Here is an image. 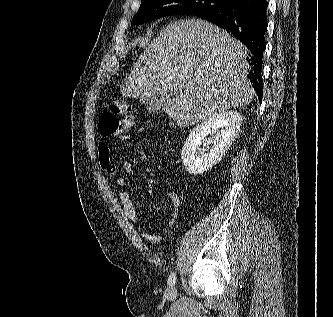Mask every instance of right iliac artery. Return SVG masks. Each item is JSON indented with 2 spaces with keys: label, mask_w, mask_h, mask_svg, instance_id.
<instances>
[{
  "label": "right iliac artery",
  "mask_w": 333,
  "mask_h": 317,
  "mask_svg": "<svg viewBox=\"0 0 333 317\" xmlns=\"http://www.w3.org/2000/svg\"><path fill=\"white\" fill-rule=\"evenodd\" d=\"M176 283V275L172 273L168 278V284L169 286H174Z\"/></svg>",
  "instance_id": "obj_1"
}]
</instances>
